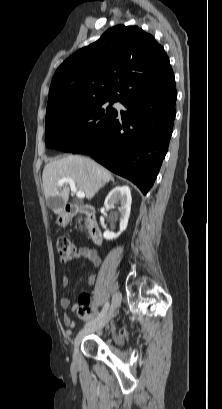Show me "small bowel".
<instances>
[{"mask_svg":"<svg viewBox=\"0 0 222 409\" xmlns=\"http://www.w3.org/2000/svg\"><path fill=\"white\" fill-rule=\"evenodd\" d=\"M74 260H88L93 266L97 267L101 263V258L98 255V253L91 248L88 247H81L79 248L75 254L69 259V261H74ZM96 281V276L95 275H90L87 279V284L89 286H92L95 284ZM70 279L69 276L65 275L62 278V286L67 287L69 285ZM60 306L63 309H69L71 307V300L68 297H62L60 299ZM73 308H77V305L73 306ZM63 323L64 326L67 327V330L65 332V337L67 339H70L73 334V328L75 327V322L68 316L65 315L63 318Z\"/></svg>","mask_w":222,"mask_h":409,"instance_id":"c3829d8e","label":"small bowel"}]
</instances>
